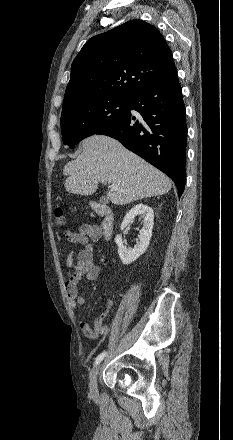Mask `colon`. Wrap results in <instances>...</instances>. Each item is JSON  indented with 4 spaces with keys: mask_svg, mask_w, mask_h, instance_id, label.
I'll return each mask as SVG.
<instances>
[{
    "mask_svg": "<svg viewBox=\"0 0 233 440\" xmlns=\"http://www.w3.org/2000/svg\"><path fill=\"white\" fill-rule=\"evenodd\" d=\"M54 224L57 227H64L66 225L65 213L62 207L57 206L54 209Z\"/></svg>",
    "mask_w": 233,
    "mask_h": 440,
    "instance_id": "obj_1",
    "label": "colon"
}]
</instances>
